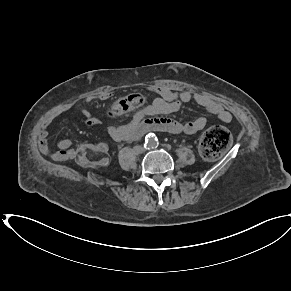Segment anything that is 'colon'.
Wrapping results in <instances>:
<instances>
[{"label": "colon", "instance_id": "obj_1", "mask_svg": "<svg viewBox=\"0 0 291 291\" xmlns=\"http://www.w3.org/2000/svg\"><path fill=\"white\" fill-rule=\"evenodd\" d=\"M143 95L135 93L118 99L109 110L111 117H120L144 104ZM229 131L222 126H212L203 134L200 151L207 159L220 157L231 145ZM77 161L82 166H104L107 163L105 152L99 145L85 144L77 151Z\"/></svg>", "mask_w": 291, "mask_h": 291}]
</instances>
